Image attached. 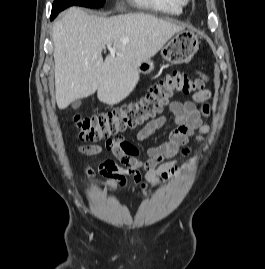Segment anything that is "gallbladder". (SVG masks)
<instances>
[{"mask_svg":"<svg viewBox=\"0 0 265 269\" xmlns=\"http://www.w3.org/2000/svg\"><path fill=\"white\" fill-rule=\"evenodd\" d=\"M81 105V101L80 100H76L72 103V108L76 109Z\"/></svg>","mask_w":265,"mask_h":269,"instance_id":"obj_1","label":"gallbladder"}]
</instances>
